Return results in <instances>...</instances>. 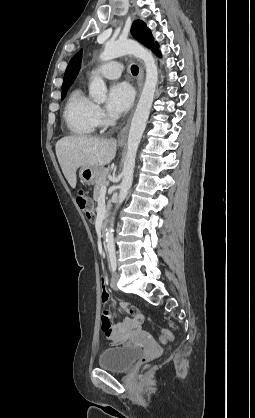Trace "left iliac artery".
Listing matches in <instances>:
<instances>
[{"mask_svg": "<svg viewBox=\"0 0 255 418\" xmlns=\"http://www.w3.org/2000/svg\"><path fill=\"white\" fill-rule=\"evenodd\" d=\"M116 267H117L116 256L115 255H111L110 256V268H111V272L112 273H114L116 271Z\"/></svg>", "mask_w": 255, "mask_h": 418, "instance_id": "left-iliac-artery-1", "label": "left iliac artery"}]
</instances>
